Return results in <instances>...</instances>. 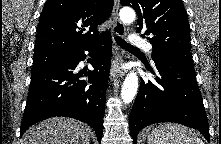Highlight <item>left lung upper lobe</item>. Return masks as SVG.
Here are the masks:
<instances>
[{"instance_id":"5c2ea615","label":"left lung upper lobe","mask_w":221,"mask_h":144,"mask_svg":"<svg viewBox=\"0 0 221 144\" xmlns=\"http://www.w3.org/2000/svg\"><path fill=\"white\" fill-rule=\"evenodd\" d=\"M120 3L137 11V32L149 36L153 60L194 66L189 48L190 25L181 0H120Z\"/></svg>"}]
</instances>
